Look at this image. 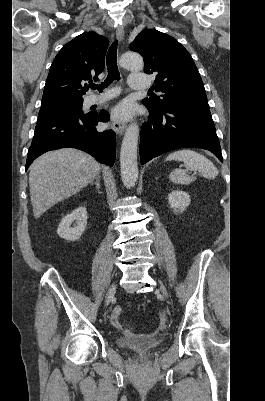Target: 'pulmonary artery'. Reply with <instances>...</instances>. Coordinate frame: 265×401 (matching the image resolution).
I'll return each instance as SVG.
<instances>
[{"label": "pulmonary artery", "mask_w": 265, "mask_h": 401, "mask_svg": "<svg viewBox=\"0 0 265 401\" xmlns=\"http://www.w3.org/2000/svg\"><path fill=\"white\" fill-rule=\"evenodd\" d=\"M148 81L149 78L147 75H143L142 72H133L132 75L129 76V88L131 90H147L149 87ZM116 95L117 93H107L101 96H91L89 97V101L98 104L104 103Z\"/></svg>", "instance_id": "1"}]
</instances>
